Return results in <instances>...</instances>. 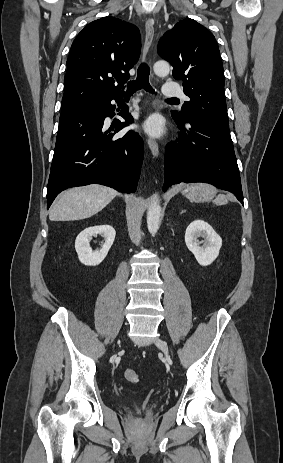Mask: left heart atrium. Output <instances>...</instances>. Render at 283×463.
Masks as SVG:
<instances>
[{
	"instance_id": "obj_1",
	"label": "left heart atrium",
	"mask_w": 283,
	"mask_h": 463,
	"mask_svg": "<svg viewBox=\"0 0 283 463\" xmlns=\"http://www.w3.org/2000/svg\"><path fill=\"white\" fill-rule=\"evenodd\" d=\"M145 129L149 134L153 136L161 135L163 132V128L160 118L157 116L149 118L145 123Z\"/></svg>"
}]
</instances>
